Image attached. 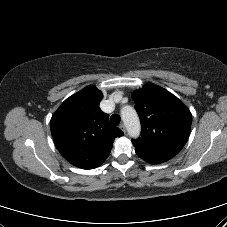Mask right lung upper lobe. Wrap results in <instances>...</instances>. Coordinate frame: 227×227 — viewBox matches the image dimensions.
Here are the masks:
<instances>
[{"label":"right lung upper lobe","mask_w":227,"mask_h":227,"mask_svg":"<svg viewBox=\"0 0 227 227\" xmlns=\"http://www.w3.org/2000/svg\"><path fill=\"white\" fill-rule=\"evenodd\" d=\"M102 92L87 86L67 98L53 114L51 134L61 155L82 169L100 166L109 156L114 139L123 132L101 111Z\"/></svg>","instance_id":"obj_1"}]
</instances>
